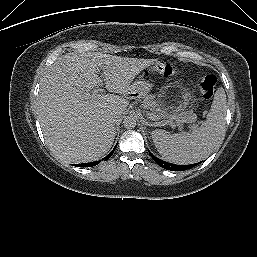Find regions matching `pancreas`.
<instances>
[{
  "mask_svg": "<svg viewBox=\"0 0 257 257\" xmlns=\"http://www.w3.org/2000/svg\"><path fill=\"white\" fill-rule=\"evenodd\" d=\"M142 107L149 109L154 115L161 118H169L170 121L192 123L196 120L197 116L192 110H171L167 112V108L162 106L158 100L155 99L154 95L144 94L142 97Z\"/></svg>",
  "mask_w": 257,
  "mask_h": 257,
  "instance_id": "obj_1",
  "label": "pancreas"
}]
</instances>
